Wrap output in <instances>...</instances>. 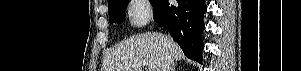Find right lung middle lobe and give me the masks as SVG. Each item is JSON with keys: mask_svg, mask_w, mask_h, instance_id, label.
<instances>
[{"mask_svg": "<svg viewBox=\"0 0 301 71\" xmlns=\"http://www.w3.org/2000/svg\"><path fill=\"white\" fill-rule=\"evenodd\" d=\"M130 0H111L108 2L109 23H122L123 15ZM156 0H152L153 5Z\"/></svg>", "mask_w": 301, "mask_h": 71, "instance_id": "obj_1", "label": "right lung middle lobe"}]
</instances>
